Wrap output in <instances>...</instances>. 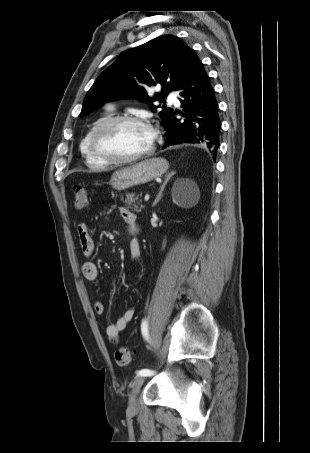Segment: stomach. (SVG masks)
<instances>
[{"instance_id":"1","label":"stomach","mask_w":310,"mask_h":453,"mask_svg":"<svg viewBox=\"0 0 310 453\" xmlns=\"http://www.w3.org/2000/svg\"><path fill=\"white\" fill-rule=\"evenodd\" d=\"M167 169L168 162L164 158L146 159L132 166L118 169L111 176L109 183L115 190L122 191L150 182L163 175Z\"/></svg>"}]
</instances>
